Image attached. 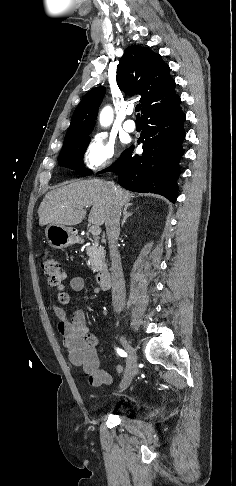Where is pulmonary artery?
<instances>
[{
  "mask_svg": "<svg viewBox=\"0 0 236 486\" xmlns=\"http://www.w3.org/2000/svg\"><path fill=\"white\" fill-rule=\"evenodd\" d=\"M133 113V109L130 108L127 110V114L128 115H131ZM124 129L127 131V132H134L135 129H136V124L134 122V120L132 119H128L124 122Z\"/></svg>",
  "mask_w": 236,
  "mask_h": 486,
  "instance_id": "1",
  "label": "pulmonary artery"
}]
</instances>
